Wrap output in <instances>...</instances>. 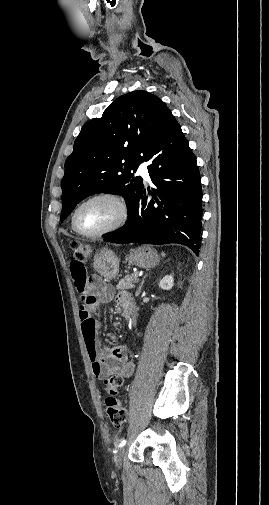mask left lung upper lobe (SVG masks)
I'll return each instance as SVG.
<instances>
[{"label":"left lung upper lobe","instance_id":"obj_1","mask_svg":"<svg viewBox=\"0 0 269 505\" xmlns=\"http://www.w3.org/2000/svg\"><path fill=\"white\" fill-rule=\"evenodd\" d=\"M168 112L160 98L137 90L118 97L101 118L82 127L65 162L61 221L81 200L101 192L121 194L130 216L142 185L132 172L145 161L150 139Z\"/></svg>","mask_w":269,"mask_h":505}]
</instances>
